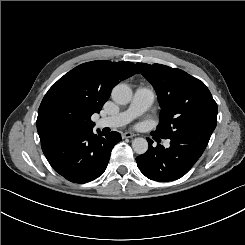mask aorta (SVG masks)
Returning <instances> with one entry per match:
<instances>
[{"label":"aorta","instance_id":"1","mask_svg":"<svg viewBox=\"0 0 245 245\" xmlns=\"http://www.w3.org/2000/svg\"><path fill=\"white\" fill-rule=\"evenodd\" d=\"M112 98L118 104H128L132 99V90L127 84H118L112 90ZM132 148L135 153L144 154L148 150V142L144 138H135Z\"/></svg>","mask_w":245,"mask_h":245}]
</instances>
